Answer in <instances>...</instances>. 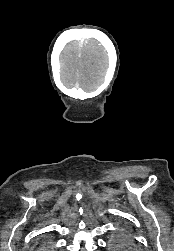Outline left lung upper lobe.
I'll return each instance as SVG.
<instances>
[{
  "instance_id": "left-lung-upper-lobe-1",
  "label": "left lung upper lobe",
  "mask_w": 174,
  "mask_h": 251,
  "mask_svg": "<svg viewBox=\"0 0 174 251\" xmlns=\"http://www.w3.org/2000/svg\"><path fill=\"white\" fill-rule=\"evenodd\" d=\"M120 238L118 242L116 243L118 245L119 249H127V243H128V233L126 231H121Z\"/></svg>"
}]
</instances>
